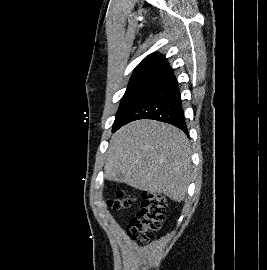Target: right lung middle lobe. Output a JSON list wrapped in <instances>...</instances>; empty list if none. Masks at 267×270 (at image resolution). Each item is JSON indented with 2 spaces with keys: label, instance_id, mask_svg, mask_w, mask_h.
I'll use <instances>...</instances> for the list:
<instances>
[{
  "label": "right lung middle lobe",
  "instance_id": "right-lung-middle-lobe-1",
  "mask_svg": "<svg viewBox=\"0 0 267 270\" xmlns=\"http://www.w3.org/2000/svg\"><path fill=\"white\" fill-rule=\"evenodd\" d=\"M154 78L155 76L148 75L131 79L129 81L127 90L121 100L119 109L116 113V118L112 129L113 132H115L122 126L126 114L137 102L140 96L147 90Z\"/></svg>",
  "mask_w": 267,
  "mask_h": 270
}]
</instances>
